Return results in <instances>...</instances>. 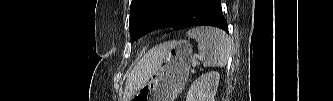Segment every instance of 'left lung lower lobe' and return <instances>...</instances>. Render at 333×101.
Masks as SVG:
<instances>
[{"instance_id":"1","label":"left lung lower lobe","mask_w":333,"mask_h":101,"mask_svg":"<svg viewBox=\"0 0 333 101\" xmlns=\"http://www.w3.org/2000/svg\"><path fill=\"white\" fill-rule=\"evenodd\" d=\"M183 18L178 28L208 25L223 29L228 33L227 22L222 14L220 0H181Z\"/></svg>"}]
</instances>
